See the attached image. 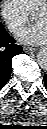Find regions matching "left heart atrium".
<instances>
[{
	"label": "left heart atrium",
	"mask_w": 47,
	"mask_h": 129,
	"mask_svg": "<svg viewBox=\"0 0 47 129\" xmlns=\"http://www.w3.org/2000/svg\"><path fill=\"white\" fill-rule=\"evenodd\" d=\"M16 36L20 42L26 44H42L47 38L46 23L34 22L19 30Z\"/></svg>",
	"instance_id": "obj_1"
}]
</instances>
